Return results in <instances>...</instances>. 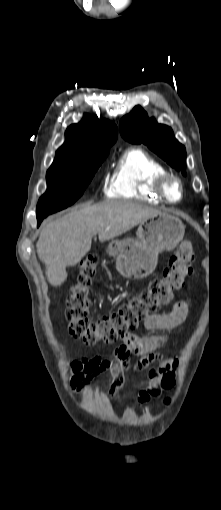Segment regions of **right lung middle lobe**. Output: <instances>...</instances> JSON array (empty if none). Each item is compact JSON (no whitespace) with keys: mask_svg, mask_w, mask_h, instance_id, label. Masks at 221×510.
Returning <instances> with one entry per match:
<instances>
[{"mask_svg":"<svg viewBox=\"0 0 221 510\" xmlns=\"http://www.w3.org/2000/svg\"><path fill=\"white\" fill-rule=\"evenodd\" d=\"M108 154L106 151L53 162L46 174L47 191L39 199L37 217L60 211L79 199Z\"/></svg>","mask_w":221,"mask_h":510,"instance_id":"1","label":"right lung middle lobe"}]
</instances>
